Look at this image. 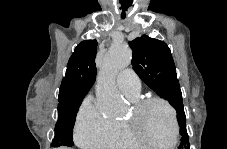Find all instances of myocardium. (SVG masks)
I'll list each match as a JSON object with an SVG mask.
<instances>
[{
    "instance_id": "1",
    "label": "myocardium",
    "mask_w": 227,
    "mask_h": 149,
    "mask_svg": "<svg viewBox=\"0 0 227 149\" xmlns=\"http://www.w3.org/2000/svg\"><path fill=\"white\" fill-rule=\"evenodd\" d=\"M159 103L165 106L171 114L172 122H173V137L170 143L161 144L155 143L149 140L140 130L139 128V120L142 112L146 107L151 104ZM127 128L130 134L139 141L143 146H150L156 148H164V147H172L175 146L178 141L179 136V122L177 118V113L175 108L166 100L159 98V97H148L137 100L133 103L132 113L131 115L125 120Z\"/></svg>"
}]
</instances>
